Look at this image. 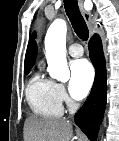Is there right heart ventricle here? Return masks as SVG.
<instances>
[{
	"label": "right heart ventricle",
	"instance_id": "obj_1",
	"mask_svg": "<svg viewBox=\"0 0 119 141\" xmlns=\"http://www.w3.org/2000/svg\"><path fill=\"white\" fill-rule=\"evenodd\" d=\"M26 99L33 113L38 116L58 118L62 115L57 84L39 73H35L27 85Z\"/></svg>",
	"mask_w": 119,
	"mask_h": 141
}]
</instances>
